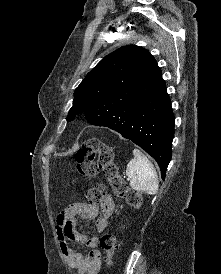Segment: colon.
I'll return each mask as SVG.
<instances>
[{
    "instance_id": "colon-1",
    "label": "colon",
    "mask_w": 221,
    "mask_h": 274,
    "mask_svg": "<svg viewBox=\"0 0 221 274\" xmlns=\"http://www.w3.org/2000/svg\"><path fill=\"white\" fill-rule=\"evenodd\" d=\"M77 170L82 176L95 177L99 171L108 179L113 193L124 199L130 206L138 208L141 205V195L131 189L125 179L120 176L113 162L112 149L98 139L84 142L75 154ZM85 197L91 204L102 203L106 197V187L102 184L89 186L85 189ZM115 237L105 234L99 245L104 251L108 265L112 264L115 252Z\"/></svg>"
}]
</instances>
